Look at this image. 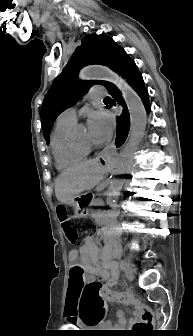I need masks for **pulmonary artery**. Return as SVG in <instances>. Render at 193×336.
<instances>
[{"label":"pulmonary artery","mask_w":193,"mask_h":336,"mask_svg":"<svg viewBox=\"0 0 193 336\" xmlns=\"http://www.w3.org/2000/svg\"><path fill=\"white\" fill-rule=\"evenodd\" d=\"M107 95L108 92L104 87H93L89 92V98L92 99L106 97ZM76 119V110L74 108H68L59 115L57 124H75Z\"/></svg>","instance_id":"1"}]
</instances>
